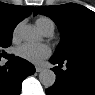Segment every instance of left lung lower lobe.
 Segmentation results:
<instances>
[{"instance_id": "0a47b994", "label": "left lung lower lobe", "mask_w": 95, "mask_h": 95, "mask_svg": "<svg viewBox=\"0 0 95 95\" xmlns=\"http://www.w3.org/2000/svg\"><path fill=\"white\" fill-rule=\"evenodd\" d=\"M56 74L55 84L46 90L47 95H95V57L85 56L74 59L52 57ZM66 63V70L62 64Z\"/></svg>"}]
</instances>
